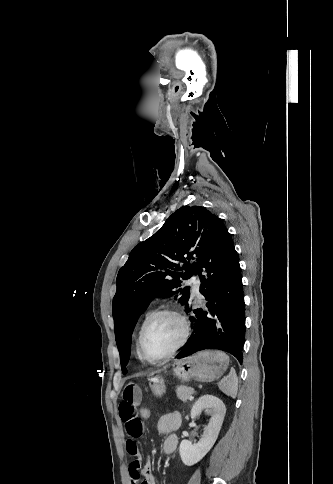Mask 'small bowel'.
<instances>
[{"label":"small bowel","mask_w":333,"mask_h":484,"mask_svg":"<svg viewBox=\"0 0 333 484\" xmlns=\"http://www.w3.org/2000/svg\"><path fill=\"white\" fill-rule=\"evenodd\" d=\"M142 401V392L138 385L128 384L122 392V400L119 404V416L125 424L129 438L126 441L127 452L134 457L129 464L131 484H156L150 462L141 466V455L138 449L137 439L145 433L143 422L139 419L137 408ZM181 425V416L178 412H171L160 417L157 423L159 433L166 437L163 442V450L166 454H172L178 446V437L175 431Z\"/></svg>","instance_id":"obj_1"}]
</instances>
